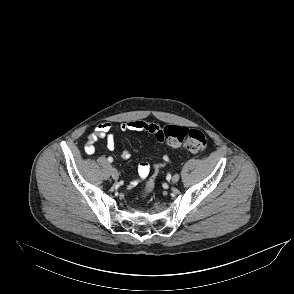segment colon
Segmentation results:
<instances>
[{
	"instance_id": "colon-1",
	"label": "colon",
	"mask_w": 294,
	"mask_h": 294,
	"mask_svg": "<svg viewBox=\"0 0 294 294\" xmlns=\"http://www.w3.org/2000/svg\"><path fill=\"white\" fill-rule=\"evenodd\" d=\"M147 131L154 134L159 142H167L174 148L183 147L193 153H202L207 148L206 136L197 129L175 125L158 126L149 123ZM158 174L159 165H155L143 191V197H147L152 192Z\"/></svg>"
}]
</instances>
